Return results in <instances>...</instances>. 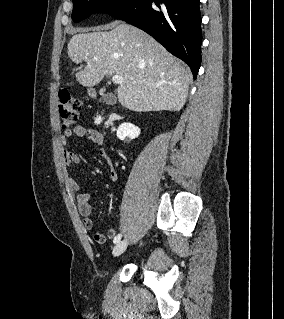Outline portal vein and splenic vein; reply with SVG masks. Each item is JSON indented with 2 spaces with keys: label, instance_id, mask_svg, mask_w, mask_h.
<instances>
[{
  "label": "portal vein and splenic vein",
  "instance_id": "portal-vein-and-splenic-vein-1",
  "mask_svg": "<svg viewBox=\"0 0 284 319\" xmlns=\"http://www.w3.org/2000/svg\"><path fill=\"white\" fill-rule=\"evenodd\" d=\"M112 81L114 84H122L124 82V79L122 76H119V75H114L112 77Z\"/></svg>",
  "mask_w": 284,
  "mask_h": 319
}]
</instances>
